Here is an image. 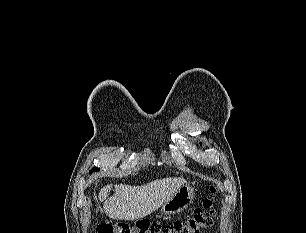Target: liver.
<instances>
[{"mask_svg": "<svg viewBox=\"0 0 306 233\" xmlns=\"http://www.w3.org/2000/svg\"><path fill=\"white\" fill-rule=\"evenodd\" d=\"M183 178H164L143 186L116 184L115 194L108 197L112 185L100 190L104 211L113 220H136L160 208L178 188L186 184Z\"/></svg>", "mask_w": 306, "mask_h": 233, "instance_id": "liver-1", "label": "liver"}]
</instances>
